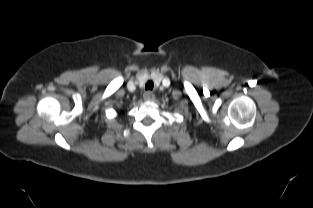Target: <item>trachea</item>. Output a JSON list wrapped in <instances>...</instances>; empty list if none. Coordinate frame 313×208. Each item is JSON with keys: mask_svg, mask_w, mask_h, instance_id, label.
I'll use <instances>...</instances> for the list:
<instances>
[{"mask_svg": "<svg viewBox=\"0 0 313 208\" xmlns=\"http://www.w3.org/2000/svg\"><path fill=\"white\" fill-rule=\"evenodd\" d=\"M153 87H154V84H153L152 81H148V82L146 83V85H145V89H146V90H152Z\"/></svg>", "mask_w": 313, "mask_h": 208, "instance_id": "3493384b", "label": "trachea"}]
</instances>
